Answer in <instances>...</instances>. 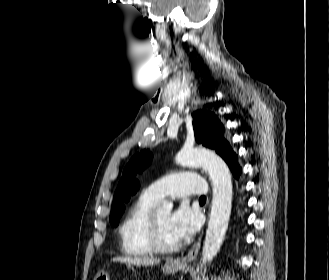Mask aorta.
<instances>
[{
  "mask_svg": "<svg viewBox=\"0 0 329 280\" xmlns=\"http://www.w3.org/2000/svg\"><path fill=\"white\" fill-rule=\"evenodd\" d=\"M175 160L184 167L204 168L212 180L213 198L202 250V266L217 255L228 228L233 196L231 173L222 158L207 150L182 149ZM172 208V202L163 201L157 211L170 213Z\"/></svg>",
  "mask_w": 329,
  "mask_h": 280,
  "instance_id": "aorta-1",
  "label": "aorta"
}]
</instances>
